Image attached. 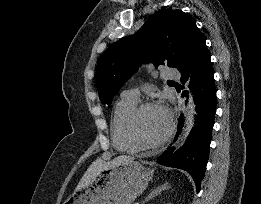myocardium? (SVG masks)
Masks as SVG:
<instances>
[{
  "instance_id": "myocardium-1",
  "label": "myocardium",
  "mask_w": 261,
  "mask_h": 204,
  "mask_svg": "<svg viewBox=\"0 0 261 204\" xmlns=\"http://www.w3.org/2000/svg\"><path fill=\"white\" fill-rule=\"evenodd\" d=\"M149 108L161 109L167 117L168 128L164 136L156 142L148 143L145 142L137 131V123L141 114ZM126 134L128 138L139 148L143 150L156 149L164 145L171 138L174 131V120L171 111L161 103L155 101H146L138 104L132 112L129 114L125 124Z\"/></svg>"
}]
</instances>
